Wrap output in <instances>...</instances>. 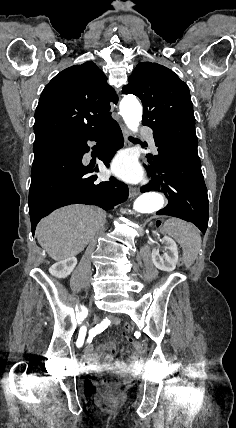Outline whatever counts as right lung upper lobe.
I'll return each instance as SVG.
<instances>
[{
    "label": "right lung upper lobe",
    "instance_id": "obj_1",
    "mask_svg": "<svg viewBox=\"0 0 236 428\" xmlns=\"http://www.w3.org/2000/svg\"><path fill=\"white\" fill-rule=\"evenodd\" d=\"M92 61L71 66L44 88L35 112L34 144L86 133L111 120L118 97Z\"/></svg>",
    "mask_w": 236,
    "mask_h": 428
}]
</instances>
